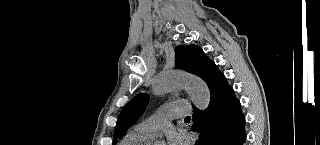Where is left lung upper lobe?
<instances>
[{
    "label": "left lung upper lobe",
    "instance_id": "1",
    "mask_svg": "<svg viewBox=\"0 0 320 145\" xmlns=\"http://www.w3.org/2000/svg\"><path fill=\"white\" fill-rule=\"evenodd\" d=\"M211 62L203 50L196 45L177 46L175 49V65L177 68L199 76L205 66ZM149 97L144 94L136 95L120 113L114 132L115 145L127 129L143 114Z\"/></svg>",
    "mask_w": 320,
    "mask_h": 145
}]
</instances>
